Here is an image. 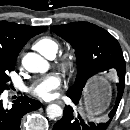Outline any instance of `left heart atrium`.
Returning <instances> with one entry per match:
<instances>
[{
    "label": "left heart atrium",
    "instance_id": "obj_1",
    "mask_svg": "<svg viewBox=\"0 0 130 130\" xmlns=\"http://www.w3.org/2000/svg\"><path fill=\"white\" fill-rule=\"evenodd\" d=\"M61 84V78L56 73H51L34 83L31 92L42 99H49L54 96V92Z\"/></svg>",
    "mask_w": 130,
    "mask_h": 130
}]
</instances>
